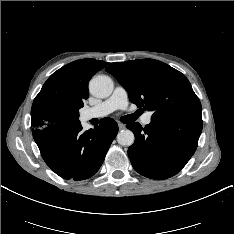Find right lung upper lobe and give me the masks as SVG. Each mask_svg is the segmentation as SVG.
I'll list each match as a JSON object with an SVG mask.
<instances>
[{"mask_svg": "<svg viewBox=\"0 0 234 234\" xmlns=\"http://www.w3.org/2000/svg\"><path fill=\"white\" fill-rule=\"evenodd\" d=\"M107 64L96 59H81L54 72L34 99L32 131L59 123L78 122L79 109L89 96L88 82Z\"/></svg>", "mask_w": 234, "mask_h": 234, "instance_id": "1", "label": "right lung upper lobe"}]
</instances>
